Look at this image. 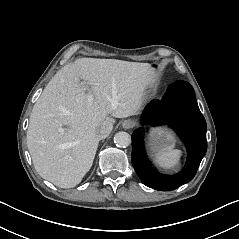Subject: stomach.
<instances>
[{"label": "stomach", "mask_w": 239, "mask_h": 239, "mask_svg": "<svg viewBox=\"0 0 239 239\" xmlns=\"http://www.w3.org/2000/svg\"><path fill=\"white\" fill-rule=\"evenodd\" d=\"M174 144L173 138L160 130H155L149 139V150L157 156L159 152L170 149Z\"/></svg>", "instance_id": "stomach-1"}]
</instances>
